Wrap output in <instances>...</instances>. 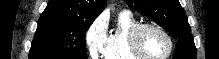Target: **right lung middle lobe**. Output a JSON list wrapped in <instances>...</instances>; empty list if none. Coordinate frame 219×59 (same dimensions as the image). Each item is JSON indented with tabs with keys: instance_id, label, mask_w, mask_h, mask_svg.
Masks as SVG:
<instances>
[{
	"instance_id": "obj_1",
	"label": "right lung middle lobe",
	"mask_w": 219,
	"mask_h": 59,
	"mask_svg": "<svg viewBox=\"0 0 219 59\" xmlns=\"http://www.w3.org/2000/svg\"><path fill=\"white\" fill-rule=\"evenodd\" d=\"M92 22L40 18L28 59H87L85 33Z\"/></svg>"
}]
</instances>
